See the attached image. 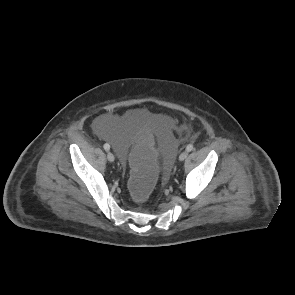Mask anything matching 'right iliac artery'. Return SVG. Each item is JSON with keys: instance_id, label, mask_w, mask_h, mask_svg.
Segmentation results:
<instances>
[{"instance_id": "obj_1", "label": "right iliac artery", "mask_w": 295, "mask_h": 295, "mask_svg": "<svg viewBox=\"0 0 295 295\" xmlns=\"http://www.w3.org/2000/svg\"><path fill=\"white\" fill-rule=\"evenodd\" d=\"M104 149L108 151L110 149V145L108 143L104 144Z\"/></svg>"}]
</instances>
